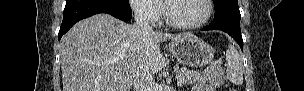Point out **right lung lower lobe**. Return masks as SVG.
<instances>
[{
    "mask_svg": "<svg viewBox=\"0 0 304 91\" xmlns=\"http://www.w3.org/2000/svg\"><path fill=\"white\" fill-rule=\"evenodd\" d=\"M98 13H108L125 22L131 20V8L117 6L114 0H67L58 39L78 21Z\"/></svg>",
    "mask_w": 304,
    "mask_h": 91,
    "instance_id": "98d812e1",
    "label": "right lung lower lobe"
}]
</instances>
